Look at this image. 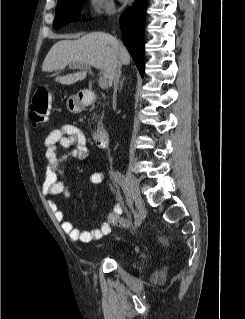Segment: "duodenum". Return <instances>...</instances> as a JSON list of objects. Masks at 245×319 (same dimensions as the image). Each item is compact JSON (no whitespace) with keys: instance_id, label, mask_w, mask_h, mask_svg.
<instances>
[{"instance_id":"obj_1","label":"duodenum","mask_w":245,"mask_h":319,"mask_svg":"<svg viewBox=\"0 0 245 319\" xmlns=\"http://www.w3.org/2000/svg\"><path fill=\"white\" fill-rule=\"evenodd\" d=\"M97 100V96L93 92H87L84 94L82 103L90 105ZM94 141L97 147L107 148L109 144V133L106 129L99 127L94 132Z\"/></svg>"}]
</instances>
